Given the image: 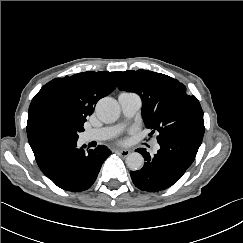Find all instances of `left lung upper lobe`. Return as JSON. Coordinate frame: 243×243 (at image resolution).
I'll use <instances>...</instances> for the list:
<instances>
[{
  "label": "left lung upper lobe",
  "instance_id": "5c2ea615",
  "mask_svg": "<svg viewBox=\"0 0 243 243\" xmlns=\"http://www.w3.org/2000/svg\"><path fill=\"white\" fill-rule=\"evenodd\" d=\"M120 90L137 93L142 99V117L151 134L157 131L158 143L177 131L204 126L203 111L185 86L167 75L147 70L125 71Z\"/></svg>",
  "mask_w": 243,
  "mask_h": 243
}]
</instances>
